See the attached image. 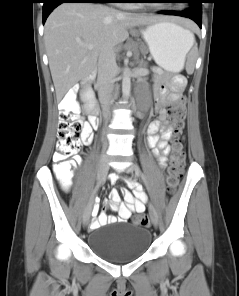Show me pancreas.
<instances>
[{"label": "pancreas", "instance_id": "cf45deb5", "mask_svg": "<svg viewBox=\"0 0 239 296\" xmlns=\"http://www.w3.org/2000/svg\"><path fill=\"white\" fill-rule=\"evenodd\" d=\"M156 71L158 73V77H160L161 75H163V70L161 68H156Z\"/></svg>", "mask_w": 239, "mask_h": 296}]
</instances>
